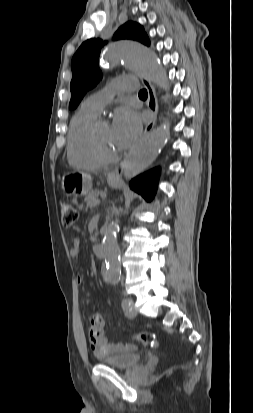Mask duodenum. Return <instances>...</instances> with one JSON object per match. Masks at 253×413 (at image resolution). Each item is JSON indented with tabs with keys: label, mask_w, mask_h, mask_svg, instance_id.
<instances>
[{
	"label": "duodenum",
	"mask_w": 253,
	"mask_h": 413,
	"mask_svg": "<svg viewBox=\"0 0 253 413\" xmlns=\"http://www.w3.org/2000/svg\"><path fill=\"white\" fill-rule=\"evenodd\" d=\"M93 251L95 255L99 258H103L105 256L104 246L100 243H97L93 246Z\"/></svg>",
	"instance_id": "1"
}]
</instances>
